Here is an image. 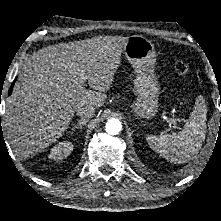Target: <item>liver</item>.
Wrapping results in <instances>:
<instances>
[{"instance_id": "obj_1", "label": "liver", "mask_w": 221, "mask_h": 221, "mask_svg": "<svg viewBox=\"0 0 221 221\" xmlns=\"http://www.w3.org/2000/svg\"><path fill=\"white\" fill-rule=\"evenodd\" d=\"M128 37L99 36L47 46L23 65L8 100L4 129L15 155L35 156L67 130L76 109L101 107ZM85 82L94 89H85Z\"/></svg>"}]
</instances>
